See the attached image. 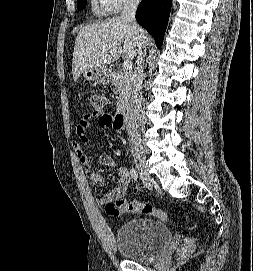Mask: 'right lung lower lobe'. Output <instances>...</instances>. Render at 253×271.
Returning a JSON list of instances; mask_svg holds the SVG:
<instances>
[{
	"label": "right lung lower lobe",
	"instance_id": "right-lung-lower-lobe-1",
	"mask_svg": "<svg viewBox=\"0 0 253 271\" xmlns=\"http://www.w3.org/2000/svg\"><path fill=\"white\" fill-rule=\"evenodd\" d=\"M172 0H142L136 12L137 22L155 39L156 46L161 47Z\"/></svg>",
	"mask_w": 253,
	"mask_h": 271
}]
</instances>
